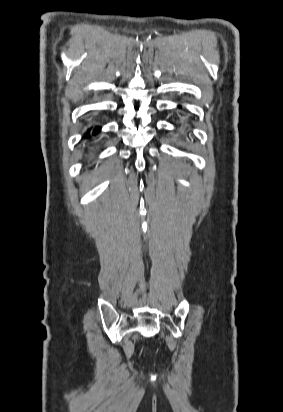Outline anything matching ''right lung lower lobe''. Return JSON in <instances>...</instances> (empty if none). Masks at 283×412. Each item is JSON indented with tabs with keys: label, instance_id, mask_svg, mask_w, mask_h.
<instances>
[{
	"label": "right lung lower lobe",
	"instance_id": "obj_1",
	"mask_svg": "<svg viewBox=\"0 0 283 412\" xmlns=\"http://www.w3.org/2000/svg\"><path fill=\"white\" fill-rule=\"evenodd\" d=\"M100 127L99 126H96V127H93V132H92V134L94 135V136H96L98 133H99V131H100ZM89 133V132H88ZM88 133H87V136H88Z\"/></svg>",
	"mask_w": 283,
	"mask_h": 412
}]
</instances>
